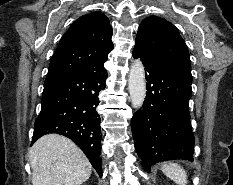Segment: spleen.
Returning <instances> with one entry per match:
<instances>
[{
    "mask_svg": "<svg viewBox=\"0 0 233 185\" xmlns=\"http://www.w3.org/2000/svg\"><path fill=\"white\" fill-rule=\"evenodd\" d=\"M162 172L178 185L187 184V172L176 163H165L161 166Z\"/></svg>",
    "mask_w": 233,
    "mask_h": 185,
    "instance_id": "3e777b00",
    "label": "spleen"
}]
</instances>
